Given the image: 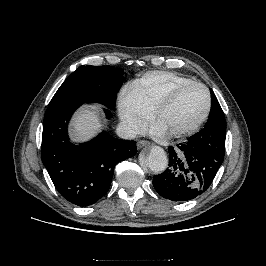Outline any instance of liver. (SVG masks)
<instances>
[{
    "mask_svg": "<svg viewBox=\"0 0 266 266\" xmlns=\"http://www.w3.org/2000/svg\"><path fill=\"white\" fill-rule=\"evenodd\" d=\"M101 128L100 113L94 107L81 108L72 120V136L85 141L93 137Z\"/></svg>",
    "mask_w": 266,
    "mask_h": 266,
    "instance_id": "liver-1",
    "label": "liver"
}]
</instances>
